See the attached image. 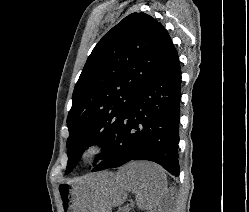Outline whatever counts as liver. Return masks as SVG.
<instances>
[{"instance_id": "liver-1", "label": "liver", "mask_w": 249, "mask_h": 212, "mask_svg": "<svg viewBox=\"0 0 249 212\" xmlns=\"http://www.w3.org/2000/svg\"><path fill=\"white\" fill-rule=\"evenodd\" d=\"M99 186L104 202L103 212H111L113 206L124 204L127 192L135 194L140 210H151L159 206L166 192L167 182L166 174L158 164L129 162L118 168L117 174H99Z\"/></svg>"}]
</instances>
